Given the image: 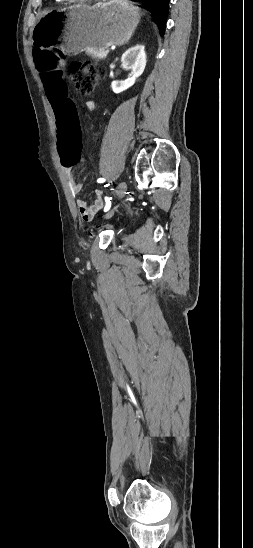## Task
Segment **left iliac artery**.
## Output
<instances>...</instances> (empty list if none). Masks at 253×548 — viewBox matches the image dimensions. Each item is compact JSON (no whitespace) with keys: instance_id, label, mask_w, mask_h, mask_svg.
Returning <instances> with one entry per match:
<instances>
[{"instance_id":"left-iliac-artery-1","label":"left iliac artery","mask_w":253,"mask_h":548,"mask_svg":"<svg viewBox=\"0 0 253 548\" xmlns=\"http://www.w3.org/2000/svg\"><path fill=\"white\" fill-rule=\"evenodd\" d=\"M104 181H105L104 178H99V179L97 180L98 183H102V182H104ZM110 200H111V198L105 197V201H106V205H105V208H104V211H105V212H107V211L110 209V207H111V201H110Z\"/></svg>"}]
</instances>
